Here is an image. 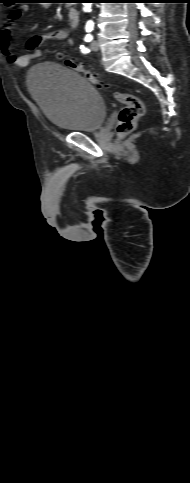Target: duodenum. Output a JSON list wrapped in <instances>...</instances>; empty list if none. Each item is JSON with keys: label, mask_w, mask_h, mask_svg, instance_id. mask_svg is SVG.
Instances as JSON below:
<instances>
[{"label": "duodenum", "mask_w": 190, "mask_h": 483, "mask_svg": "<svg viewBox=\"0 0 190 483\" xmlns=\"http://www.w3.org/2000/svg\"><path fill=\"white\" fill-rule=\"evenodd\" d=\"M79 21V13L75 7H70L68 10V22L72 28L77 27Z\"/></svg>", "instance_id": "obj_1"}]
</instances>
